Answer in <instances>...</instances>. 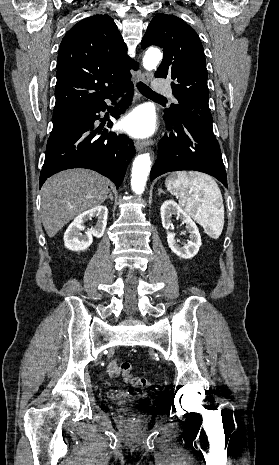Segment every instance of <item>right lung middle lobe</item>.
<instances>
[{
    "label": "right lung middle lobe",
    "instance_id": "right-lung-middle-lobe-1",
    "mask_svg": "<svg viewBox=\"0 0 279 465\" xmlns=\"http://www.w3.org/2000/svg\"><path fill=\"white\" fill-rule=\"evenodd\" d=\"M76 119V118H75ZM75 119L69 122L53 126L51 135L47 142V148L53 146L61 136L75 125Z\"/></svg>",
    "mask_w": 279,
    "mask_h": 465
}]
</instances>
